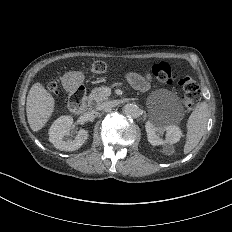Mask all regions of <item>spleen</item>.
Segmentation results:
<instances>
[{
    "instance_id": "obj_1",
    "label": "spleen",
    "mask_w": 232,
    "mask_h": 232,
    "mask_svg": "<svg viewBox=\"0 0 232 232\" xmlns=\"http://www.w3.org/2000/svg\"><path fill=\"white\" fill-rule=\"evenodd\" d=\"M209 107L207 102L198 104L186 122V142L184 154L190 153L202 139L208 123Z\"/></svg>"
}]
</instances>
